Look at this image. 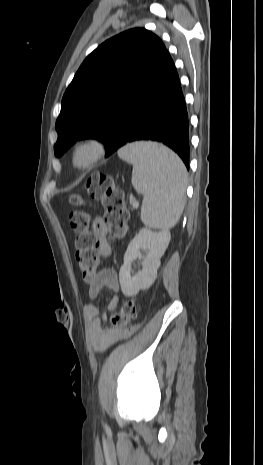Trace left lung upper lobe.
I'll list each match as a JSON object with an SVG mask.
<instances>
[{
	"label": "left lung upper lobe",
	"mask_w": 263,
	"mask_h": 465,
	"mask_svg": "<svg viewBox=\"0 0 263 465\" xmlns=\"http://www.w3.org/2000/svg\"><path fill=\"white\" fill-rule=\"evenodd\" d=\"M165 49L155 34L134 28L110 38L89 54L62 98L55 125V155L61 156L84 138L108 145L139 80Z\"/></svg>",
	"instance_id": "obj_1"
}]
</instances>
